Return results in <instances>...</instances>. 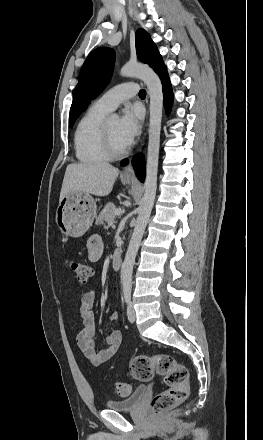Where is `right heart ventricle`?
<instances>
[{"mask_svg":"<svg viewBox=\"0 0 263 440\" xmlns=\"http://www.w3.org/2000/svg\"><path fill=\"white\" fill-rule=\"evenodd\" d=\"M108 110L93 103L80 118L74 135L77 159L83 163L103 162L109 159L101 143V124Z\"/></svg>","mask_w":263,"mask_h":440,"instance_id":"1","label":"right heart ventricle"}]
</instances>
